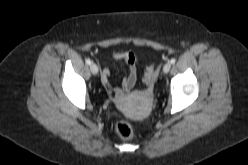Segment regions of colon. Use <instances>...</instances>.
Masks as SVG:
<instances>
[{"label": "colon", "instance_id": "colon-1", "mask_svg": "<svg viewBox=\"0 0 248 165\" xmlns=\"http://www.w3.org/2000/svg\"><path fill=\"white\" fill-rule=\"evenodd\" d=\"M155 79V68L153 65H150L144 75V83L151 87ZM114 130L118 136L123 139H132L135 135L133 126L125 120H118L114 124Z\"/></svg>", "mask_w": 248, "mask_h": 165}]
</instances>
